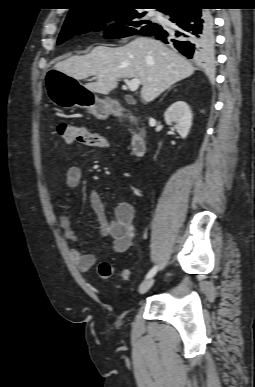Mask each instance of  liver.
<instances>
[{"label": "liver", "mask_w": 255, "mask_h": 387, "mask_svg": "<svg viewBox=\"0 0 255 387\" xmlns=\"http://www.w3.org/2000/svg\"><path fill=\"white\" fill-rule=\"evenodd\" d=\"M55 68L76 80L96 76L95 82L84 87L103 95L116 89L120 79L137 78L145 102L153 101L195 71L191 63L162 42L141 36L122 47L97 46L87 55L58 62Z\"/></svg>", "instance_id": "obj_1"}]
</instances>
